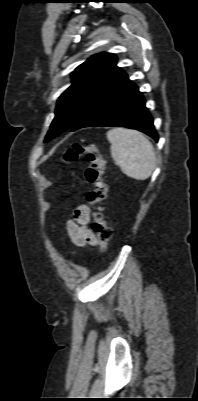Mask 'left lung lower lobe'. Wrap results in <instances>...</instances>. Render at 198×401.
<instances>
[{"label":"left lung lower lobe","instance_id":"1","mask_svg":"<svg viewBox=\"0 0 198 401\" xmlns=\"http://www.w3.org/2000/svg\"><path fill=\"white\" fill-rule=\"evenodd\" d=\"M88 126H117L140 130L155 141L158 135L145 100L127 74L120 70L78 117L71 131Z\"/></svg>","mask_w":198,"mask_h":401}]
</instances>
